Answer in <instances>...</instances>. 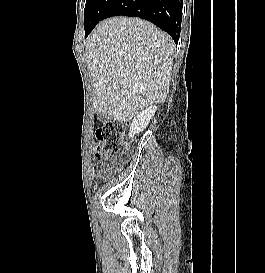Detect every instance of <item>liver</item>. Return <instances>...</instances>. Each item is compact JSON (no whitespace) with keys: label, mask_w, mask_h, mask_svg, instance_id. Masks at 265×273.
<instances>
[{"label":"liver","mask_w":265,"mask_h":273,"mask_svg":"<svg viewBox=\"0 0 265 273\" xmlns=\"http://www.w3.org/2000/svg\"><path fill=\"white\" fill-rule=\"evenodd\" d=\"M94 109L118 121L165 101L175 45L148 21L113 17L99 23L86 44Z\"/></svg>","instance_id":"1"}]
</instances>
